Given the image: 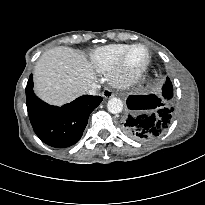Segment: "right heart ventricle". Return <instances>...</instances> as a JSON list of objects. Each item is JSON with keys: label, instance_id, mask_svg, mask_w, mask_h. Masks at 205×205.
I'll return each mask as SVG.
<instances>
[{"label": "right heart ventricle", "instance_id": "e07e8e85", "mask_svg": "<svg viewBox=\"0 0 205 205\" xmlns=\"http://www.w3.org/2000/svg\"><path fill=\"white\" fill-rule=\"evenodd\" d=\"M130 46V44H111L96 48L90 53V63L100 73L109 72Z\"/></svg>", "mask_w": 205, "mask_h": 205}]
</instances>
